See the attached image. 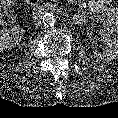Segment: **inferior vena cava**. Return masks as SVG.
Listing matches in <instances>:
<instances>
[{
    "instance_id": "inferior-vena-cava-1",
    "label": "inferior vena cava",
    "mask_w": 118,
    "mask_h": 118,
    "mask_svg": "<svg viewBox=\"0 0 118 118\" xmlns=\"http://www.w3.org/2000/svg\"><path fill=\"white\" fill-rule=\"evenodd\" d=\"M41 24V22L40 21H38L37 23H36V25H40Z\"/></svg>"
}]
</instances>
